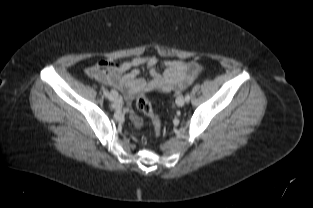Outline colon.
Instances as JSON below:
<instances>
[{"instance_id":"5ec220e1","label":"colon","mask_w":313,"mask_h":208,"mask_svg":"<svg viewBox=\"0 0 313 208\" xmlns=\"http://www.w3.org/2000/svg\"><path fill=\"white\" fill-rule=\"evenodd\" d=\"M136 107L141 114L148 117L152 121L155 136H160L162 131L161 120L154 113L152 105L145 94H141L138 96V98L136 99Z\"/></svg>"}]
</instances>
